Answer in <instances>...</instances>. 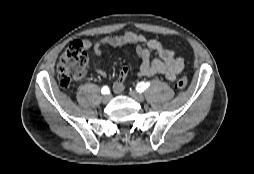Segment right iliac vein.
I'll list each match as a JSON object with an SVG mask.
<instances>
[{
  "label": "right iliac vein",
  "mask_w": 254,
  "mask_h": 174,
  "mask_svg": "<svg viewBox=\"0 0 254 174\" xmlns=\"http://www.w3.org/2000/svg\"><path fill=\"white\" fill-rule=\"evenodd\" d=\"M111 100V95L107 94L105 96L102 97V102L103 103H108Z\"/></svg>",
  "instance_id": "obj_1"
}]
</instances>
